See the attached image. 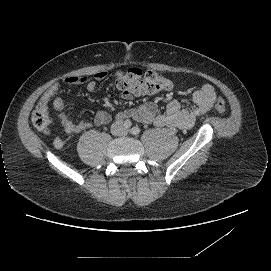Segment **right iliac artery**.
Returning <instances> with one entry per match:
<instances>
[{"instance_id": "82829eb1", "label": "right iliac artery", "mask_w": 271, "mask_h": 271, "mask_svg": "<svg viewBox=\"0 0 271 271\" xmlns=\"http://www.w3.org/2000/svg\"><path fill=\"white\" fill-rule=\"evenodd\" d=\"M131 125H132V123H131L130 120H125V121H124V127H125V128H130Z\"/></svg>"}]
</instances>
